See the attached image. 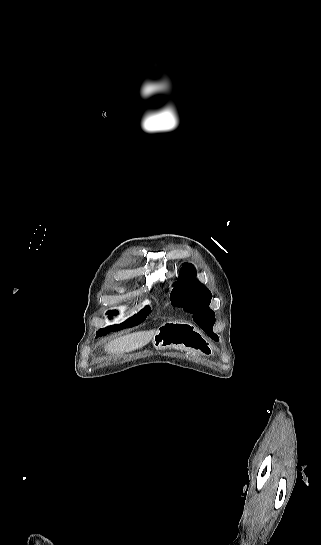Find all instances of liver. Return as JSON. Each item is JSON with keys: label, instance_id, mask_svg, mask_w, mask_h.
<instances>
[{"label": "liver", "instance_id": "obj_1", "mask_svg": "<svg viewBox=\"0 0 321 545\" xmlns=\"http://www.w3.org/2000/svg\"><path fill=\"white\" fill-rule=\"evenodd\" d=\"M154 333L156 331H138V333L124 335V337L108 343L105 351H108V353H130V351H137V349H142L147 343H150Z\"/></svg>", "mask_w": 321, "mask_h": 545}]
</instances>
